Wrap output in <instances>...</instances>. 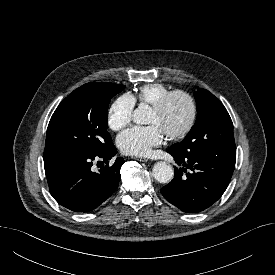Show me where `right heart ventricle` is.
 Instances as JSON below:
<instances>
[{
	"instance_id": "right-heart-ventricle-1",
	"label": "right heart ventricle",
	"mask_w": 275,
	"mask_h": 275,
	"mask_svg": "<svg viewBox=\"0 0 275 275\" xmlns=\"http://www.w3.org/2000/svg\"><path fill=\"white\" fill-rule=\"evenodd\" d=\"M170 89L161 83L145 84L139 87L135 94L131 95L135 102L140 104H155Z\"/></svg>"
}]
</instances>
